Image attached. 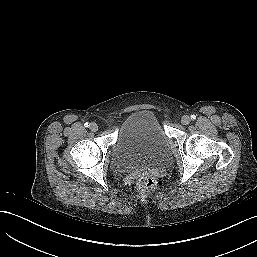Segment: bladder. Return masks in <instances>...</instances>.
I'll return each instance as SVG.
<instances>
[{
	"label": "bladder",
	"instance_id": "31cf9c89",
	"mask_svg": "<svg viewBox=\"0 0 257 257\" xmlns=\"http://www.w3.org/2000/svg\"><path fill=\"white\" fill-rule=\"evenodd\" d=\"M128 154V165L155 168L170 157V145L155 114L140 110L134 114L117 141Z\"/></svg>",
	"mask_w": 257,
	"mask_h": 257
}]
</instances>
